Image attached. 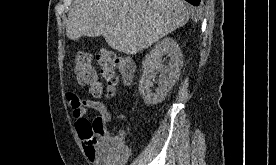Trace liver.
<instances>
[{
  "label": "liver",
  "mask_w": 276,
  "mask_h": 165,
  "mask_svg": "<svg viewBox=\"0 0 276 165\" xmlns=\"http://www.w3.org/2000/svg\"><path fill=\"white\" fill-rule=\"evenodd\" d=\"M191 15L182 0H84L68 13L71 40L102 35L108 45L133 55L184 26Z\"/></svg>",
  "instance_id": "1"
}]
</instances>
